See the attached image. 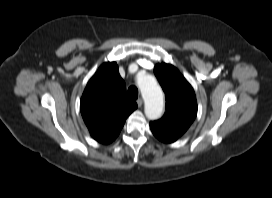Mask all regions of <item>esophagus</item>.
<instances>
[{"label": "esophagus", "mask_w": 272, "mask_h": 198, "mask_svg": "<svg viewBox=\"0 0 272 198\" xmlns=\"http://www.w3.org/2000/svg\"><path fill=\"white\" fill-rule=\"evenodd\" d=\"M137 105H138V107H141L143 105V99L142 98L137 99Z\"/></svg>", "instance_id": "obj_1"}]
</instances>
